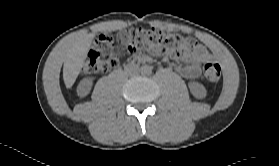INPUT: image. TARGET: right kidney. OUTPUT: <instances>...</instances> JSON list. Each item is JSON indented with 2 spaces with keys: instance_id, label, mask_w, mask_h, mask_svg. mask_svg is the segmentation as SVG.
Wrapping results in <instances>:
<instances>
[{
  "instance_id": "right-kidney-1",
  "label": "right kidney",
  "mask_w": 279,
  "mask_h": 166,
  "mask_svg": "<svg viewBox=\"0 0 279 166\" xmlns=\"http://www.w3.org/2000/svg\"><path fill=\"white\" fill-rule=\"evenodd\" d=\"M91 86H92L91 79H89V78L83 79L78 85V88H77L78 94L80 96H86L89 93Z\"/></svg>"
}]
</instances>
